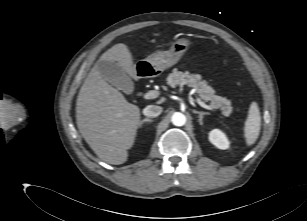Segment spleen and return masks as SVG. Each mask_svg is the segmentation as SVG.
<instances>
[{"mask_svg":"<svg viewBox=\"0 0 307 221\" xmlns=\"http://www.w3.org/2000/svg\"><path fill=\"white\" fill-rule=\"evenodd\" d=\"M261 115L257 102L253 101L248 110V117L245 121L244 137L248 146L253 145L260 133Z\"/></svg>","mask_w":307,"mask_h":221,"instance_id":"1","label":"spleen"}]
</instances>
